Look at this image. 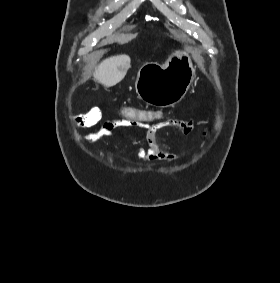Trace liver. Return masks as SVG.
<instances>
[{
  "label": "liver",
  "instance_id": "6515ba94",
  "mask_svg": "<svg viewBox=\"0 0 280 283\" xmlns=\"http://www.w3.org/2000/svg\"><path fill=\"white\" fill-rule=\"evenodd\" d=\"M130 57L128 55H116L104 59L94 73V80L105 87H112L123 80L130 68Z\"/></svg>",
  "mask_w": 280,
  "mask_h": 283
}]
</instances>
